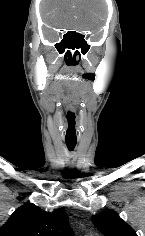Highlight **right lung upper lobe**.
<instances>
[{"label":"right lung upper lobe","instance_id":"1","mask_svg":"<svg viewBox=\"0 0 145 236\" xmlns=\"http://www.w3.org/2000/svg\"><path fill=\"white\" fill-rule=\"evenodd\" d=\"M0 236H73V232L63 210L50 213L33 204H25L0 228Z\"/></svg>","mask_w":145,"mask_h":236}]
</instances>
